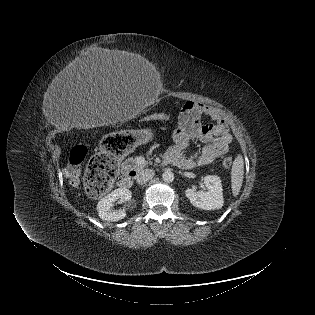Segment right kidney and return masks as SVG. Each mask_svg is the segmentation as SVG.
<instances>
[{
  "label": "right kidney",
  "instance_id": "obj_1",
  "mask_svg": "<svg viewBox=\"0 0 315 315\" xmlns=\"http://www.w3.org/2000/svg\"><path fill=\"white\" fill-rule=\"evenodd\" d=\"M131 197L130 190L126 188L115 189L98 202L97 211L99 217L104 221H118L125 218L126 212L124 209L113 210L112 206L118 199L124 202L129 201Z\"/></svg>",
  "mask_w": 315,
  "mask_h": 315
}]
</instances>
